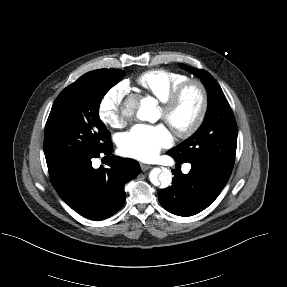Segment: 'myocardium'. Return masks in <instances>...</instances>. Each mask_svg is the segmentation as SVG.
<instances>
[{
  "instance_id": "f54148a6",
  "label": "myocardium",
  "mask_w": 287,
  "mask_h": 287,
  "mask_svg": "<svg viewBox=\"0 0 287 287\" xmlns=\"http://www.w3.org/2000/svg\"><path fill=\"white\" fill-rule=\"evenodd\" d=\"M191 88H195L200 96V108L198 114L193 122L187 127H175L171 123V117L179 107L186 92ZM208 108L209 96L207 89L201 81L196 79H187L181 83L171 92L167 100L161 105L164 121L171 127L175 135L182 139L192 136L200 129L207 116Z\"/></svg>"
}]
</instances>
